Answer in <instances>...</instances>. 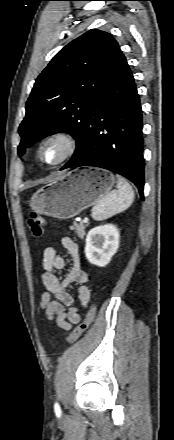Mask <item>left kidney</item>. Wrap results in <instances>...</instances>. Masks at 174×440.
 I'll return each mask as SVG.
<instances>
[{"mask_svg": "<svg viewBox=\"0 0 174 440\" xmlns=\"http://www.w3.org/2000/svg\"><path fill=\"white\" fill-rule=\"evenodd\" d=\"M120 233L113 224L91 229L86 237L85 255L96 266L105 267L119 247Z\"/></svg>", "mask_w": 174, "mask_h": 440, "instance_id": "5707ae66", "label": "left kidney"}]
</instances>
